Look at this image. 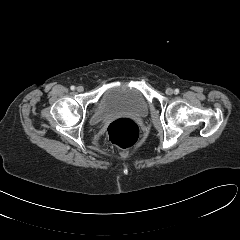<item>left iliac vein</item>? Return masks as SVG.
Wrapping results in <instances>:
<instances>
[{"instance_id": "1", "label": "left iliac vein", "mask_w": 240, "mask_h": 240, "mask_svg": "<svg viewBox=\"0 0 240 240\" xmlns=\"http://www.w3.org/2000/svg\"><path fill=\"white\" fill-rule=\"evenodd\" d=\"M173 93H174L173 89H171V88L166 89V94L167 95H172Z\"/></svg>"}]
</instances>
